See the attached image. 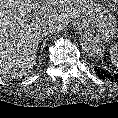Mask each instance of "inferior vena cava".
Returning <instances> with one entry per match:
<instances>
[{"mask_svg": "<svg viewBox=\"0 0 118 118\" xmlns=\"http://www.w3.org/2000/svg\"><path fill=\"white\" fill-rule=\"evenodd\" d=\"M42 27H43V32L45 35H47L48 33H51V34L59 33L60 30L63 28L62 25L57 24V23L52 22V21L43 23Z\"/></svg>", "mask_w": 118, "mask_h": 118, "instance_id": "602c4592", "label": "inferior vena cava"}]
</instances>
